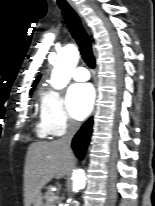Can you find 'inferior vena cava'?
I'll list each match as a JSON object with an SVG mask.
<instances>
[{"instance_id":"1","label":"inferior vena cava","mask_w":155,"mask_h":206,"mask_svg":"<svg viewBox=\"0 0 155 206\" xmlns=\"http://www.w3.org/2000/svg\"><path fill=\"white\" fill-rule=\"evenodd\" d=\"M79 127L80 123L71 119L68 123L66 134L60 139V142L68 151H71V142Z\"/></svg>"}]
</instances>
